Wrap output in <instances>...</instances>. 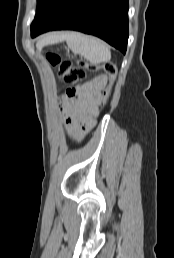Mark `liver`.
<instances>
[{
  "label": "liver",
  "instance_id": "liver-1",
  "mask_svg": "<svg viewBox=\"0 0 174 258\" xmlns=\"http://www.w3.org/2000/svg\"><path fill=\"white\" fill-rule=\"evenodd\" d=\"M55 38H63L64 35H60V36H54Z\"/></svg>",
  "mask_w": 174,
  "mask_h": 258
}]
</instances>
